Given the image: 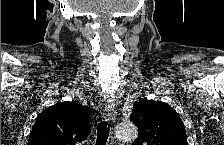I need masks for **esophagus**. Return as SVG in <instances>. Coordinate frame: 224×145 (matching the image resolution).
Here are the masks:
<instances>
[{"mask_svg": "<svg viewBox=\"0 0 224 145\" xmlns=\"http://www.w3.org/2000/svg\"><path fill=\"white\" fill-rule=\"evenodd\" d=\"M115 117V104L112 101H109L104 110V119L110 120Z\"/></svg>", "mask_w": 224, "mask_h": 145, "instance_id": "1", "label": "esophagus"}]
</instances>
